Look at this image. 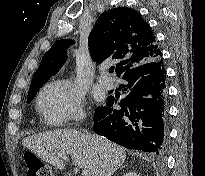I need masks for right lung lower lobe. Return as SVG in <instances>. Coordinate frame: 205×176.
Returning <instances> with one entry per match:
<instances>
[{
    "label": "right lung lower lobe",
    "mask_w": 205,
    "mask_h": 176,
    "mask_svg": "<svg viewBox=\"0 0 205 176\" xmlns=\"http://www.w3.org/2000/svg\"><path fill=\"white\" fill-rule=\"evenodd\" d=\"M121 89L127 96L114 110L96 109L93 130L128 149L162 155L167 147V91L163 58L149 60L126 71Z\"/></svg>",
    "instance_id": "right-lung-lower-lobe-1"
}]
</instances>
